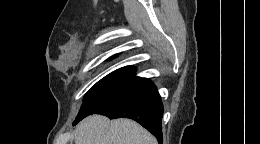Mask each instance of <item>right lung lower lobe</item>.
<instances>
[{
	"label": "right lung lower lobe",
	"mask_w": 260,
	"mask_h": 144,
	"mask_svg": "<svg viewBox=\"0 0 260 144\" xmlns=\"http://www.w3.org/2000/svg\"><path fill=\"white\" fill-rule=\"evenodd\" d=\"M163 111L161 97L156 86L148 79L134 77L122 90L99 105L90 114H101L110 119L121 117L133 119L162 142ZM83 118L75 120L73 124L75 125Z\"/></svg>",
	"instance_id": "98d812e1"
}]
</instances>
